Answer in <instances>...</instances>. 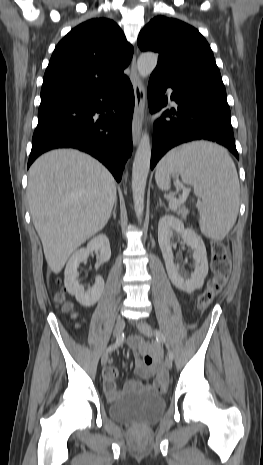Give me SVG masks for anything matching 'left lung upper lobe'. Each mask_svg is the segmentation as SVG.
Here are the masks:
<instances>
[{
  "label": "left lung upper lobe",
  "mask_w": 263,
  "mask_h": 465,
  "mask_svg": "<svg viewBox=\"0 0 263 465\" xmlns=\"http://www.w3.org/2000/svg\"><path fill=\"white\" fill-rule=\"evenodd\" d=\"M142 51L159 53L153 73L175 79H193L226 94L212 50L197 29L178 19L157 16L140 32Z\"/></svg>",
  "instance_id": "obj_1"
}]
</instances>
